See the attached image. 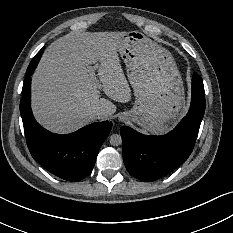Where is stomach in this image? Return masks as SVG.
<instances>
[{
  "label": "stomach",
  "mask_w": 233,
  "mask_h": 233,
  "mask_svg": "<svg viewBox=\"0 0 233 233\" xmlns=\"http://www.w3.org/2000/svg\"><path fill=\"white\" fill-rule=\"evenodd\" d=\"M115 47L135 97L132 108L121 114L122 120L132 121L145 134H167L187 112L173 55L138 30L126 31Z\"/></svg>",
  "instance_id": "0dacf381"
}]
</instances>
